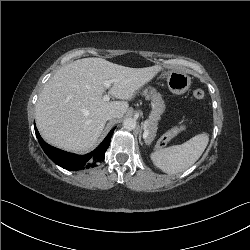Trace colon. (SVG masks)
<instances>
[{
  "instance_id": "5ec220e1",
  "label": "colon",
  "mask_w": 250,
  "mask_h": 250,
  "mask_svg": "<svg viewBox=\"0 0 250 250\" xmlns=\"http://www.w3.org/2000/svg\"><path fill=\"white\" fill-rule=\"evenodd\" d=\"M205 93L202 88H196L193 91V97L197 100L203 99ZM186 129V125H179L168 132H166L158 141V145L155 147V149L152 151V156L154 158H159L161 154L164 152V146H166L175 136H177L179 133L183 132Z\"/></svg>"
}]
</instances>
